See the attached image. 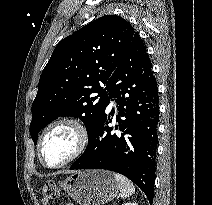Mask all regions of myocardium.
Returning a JSON list of instances; mask_svg holds the SVG:
<instances>
[{"mask_svg":"<svg viewBox=\"0 0 212 205\" xmlns=\"http://www.w3.org/2000/svg\"><path fill=\"white\" fill-rule=\"evenodd\" d=\"M59 127H68L74 132L76 145L73 152L67 158L56 164H48L43 158L42 148L50 132ZM88 142L89 132L86 125L81 120L75 117H61L49 123L42 131L37 146L38 157L44 166L48 168H59L78 158L85 151Z\"/></svg>","mask_w":212,"mask_h":205,"instance_id":"myocardium-1","label":"myocardium"}]
</instances>
